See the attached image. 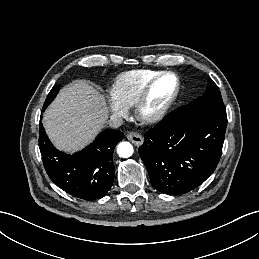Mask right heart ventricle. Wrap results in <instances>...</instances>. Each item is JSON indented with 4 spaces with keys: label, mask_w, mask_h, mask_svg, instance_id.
<instances>
[{
    "label": "right heart ventricle",
    "mask_w": 259,
    "mask_h": 259,
    "mask_svg": "<svg viewBox=\"0 0 259 259\" xmlns=\"http://www.w3.org/2000/svg\"><path fill=\"white\" fill-rule=\"evenodd\" d=\"M158 73L149 69L124 72L116 78L111 93L126 108L132 107L146 83Z\"/></svg>",
    "instance_id": "right-heart-ventricle-1"
}]
</instances>
